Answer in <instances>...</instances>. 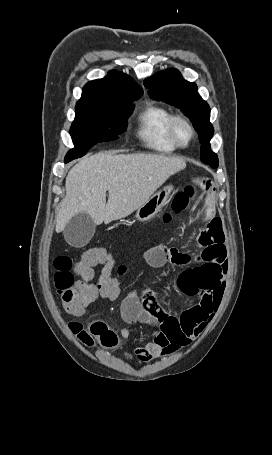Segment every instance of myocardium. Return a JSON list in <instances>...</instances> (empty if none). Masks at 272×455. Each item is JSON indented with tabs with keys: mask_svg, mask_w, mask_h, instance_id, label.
Here are the masks:
<instances>
[{
	"mask_svg": "<svg viewBox=\"0 0 272 455\" xmlns=\"http://www.w3.org/2000/svg\"><path fill=\"white\" fill-rule=\"evenodd\" d=\"M179 123H182L185 126H187V128L190 131V138L186 143L180 142V140L177 137L176 128ZM168 135H169L171 142L177 148L185 149V148H188L191 145V143L194 141L195 136H196V131H195L193 124L186 116L181 115V114H175V115H172V117L170 118V120L168 122Z\"/></svg>",
	"mask_w": 272,
	"mask_h": 455,
	"instance_id": "1",
	"label": "myocardium"
}]
</instances>
